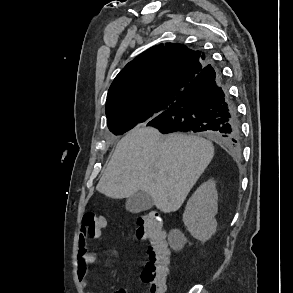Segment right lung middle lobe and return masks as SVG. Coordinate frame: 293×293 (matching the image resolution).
<instances>
[{"mask_svg":"<svg viewBox=\"0 0 293 293\" xmlns=\"http://www.w3.org/2000/svg\"><path fill=\"white\" fill-rule=\"evenodd\" d=\"M157 110H138L112 116L107 119L108 128L115 135H122L126 131L132 129L138 123L149 121L152 118L153 113Z\"/></svg>","mask_w":293,"mask_h":293,"instance_id":"dd1d6c3e","label":"right lung middle lobe"}]
</instances>
